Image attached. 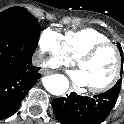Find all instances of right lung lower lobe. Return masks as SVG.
Returning a JSON list of instances; mask_svg holds the SVG:
<instances>
[{
  "instance_id": "right-lung-lower-lobe-1",
  "label": "right lung lower lobe",
  "mask_w": 124,
  "mask_h": 124,
  "mask_svg": "<svg viewBox=\"0 0 124 124\" xmlns=\"http://www.w3.org/2000/svg\"><path fill=\"white\" fill-rule=\"evenodd\" d=\"M40 31L0 32V120L12 116L29 89L41 78L32 64Z\"/></svg>"
}]
</instances>
